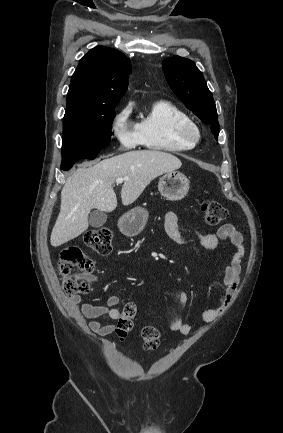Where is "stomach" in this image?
Segmentation results:
<instances>
[{"instance_id":"obj_1","label":"stomach","mask_w":283,"mask_h":433,"mask_svg":"<svg viewBox=\"0 0 283 433\" xmlns=\"http://www.w3.org/2000/svg\"><path fill=\"white\" fill-rule=\"evenodd\" d=\"M159 192L162 196L168 198V200H181L186 196L190 186L189 180L183 172H178V170H171V172H166L161 176L158 182ZM148 210L143 208V206H135L131 208L128 212L123 214L118 221V227L126 237H135L143 231L147 219Z\"/></svg>"}]
</instances>
